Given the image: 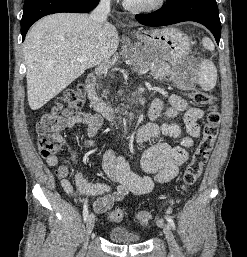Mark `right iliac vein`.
Segmentation results:
<instances>
[{"label": "right iliac vein", "instance_id": "63e3f726", "mask_svg": "<svg viewBox=\"0 0 247 257\" xmlns=\"http://www.w3.org/2000/svg\"><path fill=\"white\" fill-rule=\"evenodd\" d=\"M94 224H95V215L93 213H90L88 218H87V223H86L85 242H84V245H83L81 251L77 255V257H84L86 246H87V242H88L90 234L93 231Z\"/></svg>", "mask_w": 247, "mask_h": 257}]
</instances>
